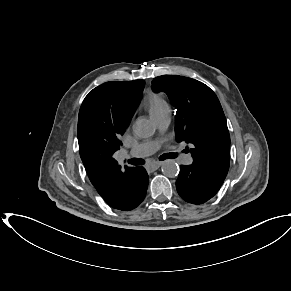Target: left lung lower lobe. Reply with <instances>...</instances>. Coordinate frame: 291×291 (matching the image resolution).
Listing matches in <instances>:
<instances>
[{
  "instance_id": "1",
  "label": "left lung lower lobe",
  "mask_w": 291,
  "mask_h": 291,
  "mask_svg": "<svg viewBox=\"0 0 291 291\" xmlns=\"http://www.w3.org/2000/svg\"><path fill=\"white\" fill-rule=\"evenodd\" d=\"M224 179L219 178L201 167L181 165L176 189L180 197L191 204H203L214 197Z\"/></svg>"
}]
</instances>
